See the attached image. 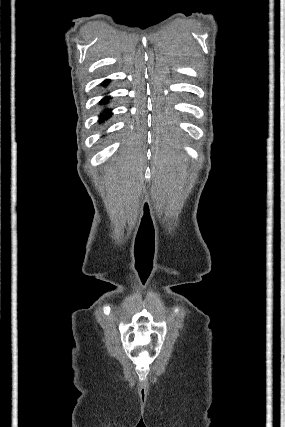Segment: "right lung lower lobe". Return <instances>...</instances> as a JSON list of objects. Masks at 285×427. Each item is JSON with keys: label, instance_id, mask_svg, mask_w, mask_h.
Segmentation results:
<instances>
[{"label": "right lung lower lobe", "instance_id": "obj_1", "mask_svg": "<svg viewBox=\"0 0 285 427\" xmlns=\"http://www.w3.org/2000/svg\"><path fill=\"white\" fill-rule=\"evenodd\" d=\"M109 81L110 80H105L103 83H102V85L103 86H107V84L109 83ZM109 99H110V97L109 96H106V97H104L102 100H101V104H103V105H105V104H107L108 102H109ZM111 114H112V112H111V109H109V108H105L104 110H103V112H102V118L100 119V122H104L105 120H107V119H109L110 117H111Z\"/></svg>", "mask_w": 285, "mask_h": 427}]
</instances>
